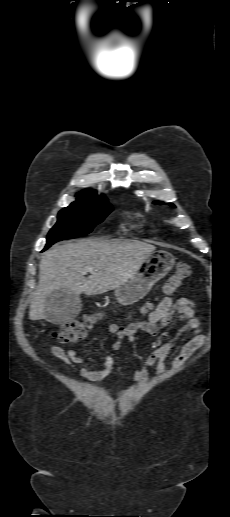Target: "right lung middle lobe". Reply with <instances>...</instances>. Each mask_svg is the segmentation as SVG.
Returning <instances> with one entry per match:
<instances>
[{
    "instance_id": "dd1d6c3e",
    "label": "right lung middle lobe",
    "mask_w": 230,
    "mask_h": 517,
    "mask_svg": "<svg viewBox=\"0 0 230 517\" xmlns=\"http://www.w3.org/2000/svg\"><path fill=\"white\" fill-rule=\"evenodd\" d=\"M112 210L105 197L73 202L59 212L56 225L47 235L44 250L57 241L77 238L90 233Z\"/></svg>"
}]
</instances>
